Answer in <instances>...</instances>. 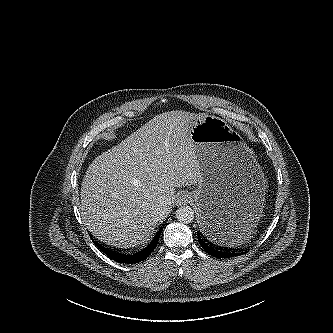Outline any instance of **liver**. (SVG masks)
I'll list each match as a JSON object with an SVG mask.
<instances>
[{"mask_svg": "<svg viewBox=\"0 0 333 333\" xmlns=\"http://www.w3.org/2000/svg\"><path fill=\"white\" fill-rule=\"evenodd\" d=\"M196 119L181 110L159 114L94 159L81 184L79 206L90 232L117 247L148 240L172 210L176 188L199 181L190 137Z\"/></svg>", "mask_w": 333, "mask_h": 333, "instance_id": "liver-1", "label": "liver"}]
</instances>
